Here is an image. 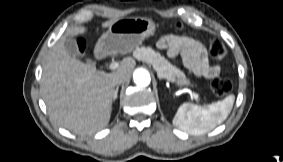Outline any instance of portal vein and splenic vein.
Instances as JSON below:
<instances>
[{
  "instance_id": "obj_1",
  "label": "portal vein and splenic vein",
  "mask_w": 283,
  "mask_h": 162,
  "mask_svg": "<svg viewBox=\"0 0 283 162\" xmlns=\"http://www.w3.org/2000/svg\"><path fill=\"white\" fill-rule=\"evenodd\" d=\"M119 67V63L118 62H113V63H111L110 65H109V69L110 70H115V69H117ZM192 95H193V97L195 98V99H198L199 98V96L196 94V93H192Z\"/></svg>"
}]
</instances>
